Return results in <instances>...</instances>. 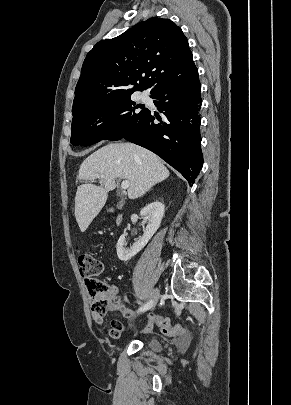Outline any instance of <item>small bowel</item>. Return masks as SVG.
Returning <instances> with one entry per match:
<instances>
[{"instance_id":"small-bowel-1","label":"small bowel","mask_w":291,"mask_h":405,"mask_svg":"<svg viewBox=\"0 0 291 405\" xmlns=\"http://www.w3.org/2000/svg\"><path fill=\"white\" fill-rule=\"evenodd\" d=\"M108 298L111 304V309L113 311H117L121 313L124 317L126 318H132L135 315L134 310L131 308L127 307L121 300L119 294H118V288L114 285L110 286V289L108 291ZM93 319L95 323L98 326V329L101 333L106 335L109 338L117 339L120 338L122 335V332L124 330V327L121 322L117 320H113L110 324V327H107L104 324V320L102 316L93 314ZM155 324L153 320L148 317L146 325L144 329L142 330V333L146 334L149 333L153 330Z\"/></svg>"}]
</instances>
